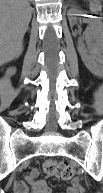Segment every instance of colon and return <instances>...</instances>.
<instances>
[{"label":"colon","mask_w":103,"mask_h":193,"mask_svg":"<svg viewBox=\"0 0 103 193\" xmlns=\"http://www.w3.org/2000/svg\"><path fill=\"white\" fill-rule=\"evenodd\" d=\"M44 171L52 176H55L61 180H70L77 174L76 169L69 163L61 161L57 162L52 159H48L43 164Z\"/></svg>","instance_id":"5ec220e1"}]
</instances>
